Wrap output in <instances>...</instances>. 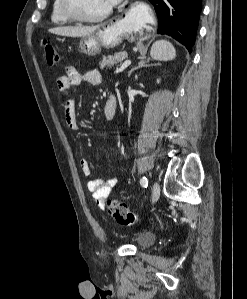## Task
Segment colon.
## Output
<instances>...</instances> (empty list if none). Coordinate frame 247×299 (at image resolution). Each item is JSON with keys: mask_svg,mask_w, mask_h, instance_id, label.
Returning <instances> with one entry per match:
<instances>
[{"mask_svg": "<svg viewBox=\"0 0 247 299\" xmlns=\"http://www.w3.org/2000/svg\"><path fill=\"white\" fill-rule=\"evenodd\" d=\"M43 48L47 64L51 66L56 65L59 62V54L54 44L50 40H46L43 43ZM108 209L111 217L120 225L130 226L137 221L136 214L123 201L117 199L110 200Z\"/></svg>", "mask_w": 247, "mask_h": 299, "instance_id": "obj_1", "label": "colon"}]
</instances>
